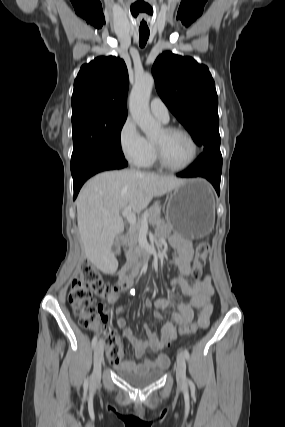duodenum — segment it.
I'll return each mask as SVG.
<instances>
[{"label": "duodenum", "mask_w": 285, "mask_h": 427, "mask_svg": "<svg viewBox=\"0 0 285 427\" xmlns=\"http://www.w3.org/2000/svg\"><path fill=\"white\" fill-rule=\"evenodd\" d=\"M152 253L151 247H142L139 249L128 261V263L122 268L120 272V277L126 281L130 282L133 277H135L138 266L145 262L150 254Z\"/></svg>", "instance_id": "obj_1"}]
</instances>
